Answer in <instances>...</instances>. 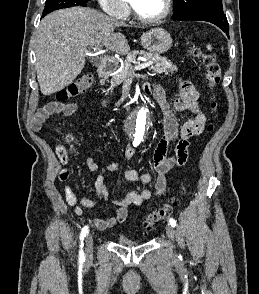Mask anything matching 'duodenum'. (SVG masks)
Masks as SVG:
<instances>
[{"mask_svg":"<svg viewBox=\"0 0 259 294\" xmlns=\"http://www.w3.org/2000/svg\"><path fill=\"white\" fill-rule=\"evenodd\" d=\"M115 68V63L113 60H104L99 64V72L102 75L110 73Z\"/></svg>","mask_w":259,"mask_h":294,"instance_id":"obj_1","label":"duodenum"}]
</instances>
